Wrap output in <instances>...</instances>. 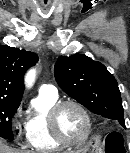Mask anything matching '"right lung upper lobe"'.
I'll return each instance as SVG.
<instances>
[{
	"mask_svg": "<svg viewBox=\"0 0 130 153\" xmlns=\"http://www.w3.org/2000/svg\"><path fill=\"white\" fill-rule=\"evenodd\" d=\"M37 61L36 53L0 46V100L20 103L24 91L23 76Z\"/></svg>",
	"mask_w": 130,
	"mask_h": 153,
	"instance_id": "obj_1",
	"label": "right lung upper lobe"
}]
</instances>
